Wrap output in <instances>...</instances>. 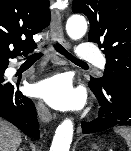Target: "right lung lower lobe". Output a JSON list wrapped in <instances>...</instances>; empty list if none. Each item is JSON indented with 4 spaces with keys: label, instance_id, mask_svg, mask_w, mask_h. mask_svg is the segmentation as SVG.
Segmentation results:
<instances>
[{
    "label": "right lung lower lobe",
    "instance_id": "obj_1",
    "mask_svg": "<svg viewBox=\"0 0 131 151\" xmlns=\"http://www.w3.org/2000/svg\"><path fill=\"white\" fill-rule=\"evenodd\" d=\"M8 59L0 61V117L14 124L27 136L38 139L39 123L32 100L24 96L12 83L4 80ZM18 85L19 83L16 84L17 87Z\"/></svg>",
    "mask_w": 131,
    "mask_h": 151
}]
</instances>
